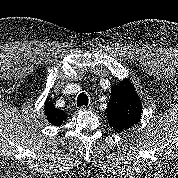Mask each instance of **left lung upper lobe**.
<instances>
[{
  "label": "left lung upper lobe",
  "mask_w": 178,
  "mask_h": 178,
  "mask_svg": "<svg viewBox=\"0 0 178 178\" xmlns=\"http://www.w3.org/2000/svg\"><path fill=\"white\" fill-rule=\"evenodd\" d=\"M106 113L109 125L116 132L128 130L140 121L141 100L128 79L113 86Z\"/></svg>",
  "instance_id": "1"
}]
</instances>
